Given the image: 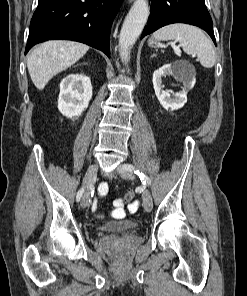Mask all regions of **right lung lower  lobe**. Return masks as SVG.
Here are the masks:
<instances>
[{"instance_id":"98d812e1","label":"right lung lower lobe","mask_w":247,"mask_h":296,"mask_svg":"<svg viewBox=\"0 0 247 296\" xmlns=\"http://www.w3.org/2000/svg\"><path fill=\"white\" fill-rule=\"evenodd\" d=\"M122 0H38L25 54L37 43L65 39L85 43L110 58V30Z\"/></svg>"}]
</instances>
